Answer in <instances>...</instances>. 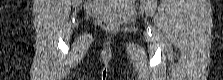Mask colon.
Returning a JSON list of instances; mask_svg holds the SVG:
<instances>
[{
	"instance_id": "obj_1",
	"label": "colon",
	"mask_w": 223,
	"mask_h": 80,
	"mask_svg": "<svg viewBox=\"0 0 223 80\" xmlns=\"http://www.w3.org/2000/svg\"><path fill=\"white\" fill-rule=\"evenodd\" d=\"M103 26L106 28V29H113L114 28V25L112 23H109V22H104L103 23Z\"/></svg>"
}]
</instances>
